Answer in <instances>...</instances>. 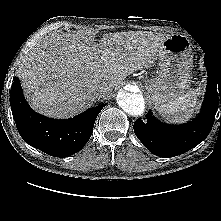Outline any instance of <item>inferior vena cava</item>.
<instances>
[{
    "label": "inferior vena cava",
    "mask_w": 221,
    "mask_h": 221,
    "mask_svg": "<svg viewBox=\"0 0 221 221\" xmlns=\"http://www.w3.org/2000/svg\"><path fill=\"white\" fill-rule=\"evenodd\" d=\"M108 92V88L105 85H97L94 87V94L96 97H101Z\"/></svg>",
    "instance_id": "1"
}]
</instances>
